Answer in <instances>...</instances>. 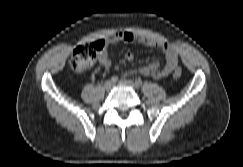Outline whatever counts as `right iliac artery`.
<instances>
[{
  "label": "right iliac artery",
  "instance_id": "1",
  "mask_svg": "<svg viewBox=\"0 0 243 167\" xmlns=\"http://www.w3.org/2000/svg\"><path fill=\"white\" fill-rule=\"evenodd\" d=\"M117 81H118V76L114 75V76L111 77V82L112 83H116Z\"/></svg>",
  "mask_w": 243,
  "mask_h": 167
}]
</instances>
